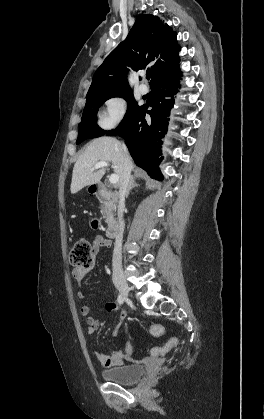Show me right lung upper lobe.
<instances>
[{"mask_svg": "<svg viewBox=\"0 0 264 419\" xmlns=\"http://www.w3.org/2000/svg\"><path fill=\"white\" fill-rule=\"evenodd\" d=\"M176 35L158 16H139L125 41L95 72L87 97L130 91L127 66L138 70L151 64L148 69L152 73L151 85L162 76L180 72Z\"/></svg>", "mask_w": 264, "mask_h": 419, "instance_id": "1", "label": "right lung upper lobe"}]
</instances>
